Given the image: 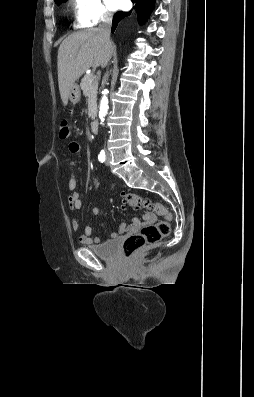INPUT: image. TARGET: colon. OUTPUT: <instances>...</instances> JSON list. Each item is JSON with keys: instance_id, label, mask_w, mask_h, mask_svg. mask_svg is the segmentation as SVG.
<instances>
[{"instance_id": "1", "label": "colon", "mask_w": 254, "mask_h": 397, "mask_svg": "<svg viewBox=\"0 0 254 397\" xmlns=\"http://www.w3.org/2000/svg\"><path fill=\"white\" fill-rule=\"evenodd\" d=\"M70 136V128L67 121L59 124V138L67 139ZM124 202L134 208L144 209L146 212L155 213L163 217V220L153 225L142 227L137 233L129 235L123 243V254L126 258L135 255L142 248L153 245L169 235L171 231L172 214L159 202L135 193L123 194Z\"/></svg>"}]
</instances>
